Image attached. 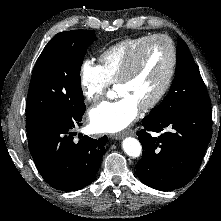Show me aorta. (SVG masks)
<instances>
[{"instance_id": "aorta-1", "label": "aorta", "mask_w": 221, "mask_h": 221, "mask_svg": "<svg viewBox=\"0 0 221 221\" xmlns=\"http://www.w3.org/2000/svg\"><path fill=\"white\" fill-rule=\"evenodd\" d=\"M122 147L124 152L131 157H138L142 151L140 142L133 137L125 138L122 142Z\"/></svg>"}]
</instances>
